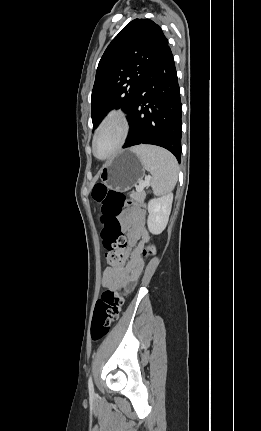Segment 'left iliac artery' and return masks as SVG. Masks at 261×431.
<instances>
[{"label": "left iliac artery", "mask_w": 261, "mask_h": 431, "mask_svg": "<svg viewBox=\"0 0 261 431\" xmlns=\"http://www.w3.org/2000/svg\"><path fill=\"white\" fill-rule=\"evenodd\" d=\"M88 388H89L90 394H93L94 393V386H93V381H92L91 375L89 376V380H88Z\"/></svg>", "instance_id": "44dca946"}]
</instances>
